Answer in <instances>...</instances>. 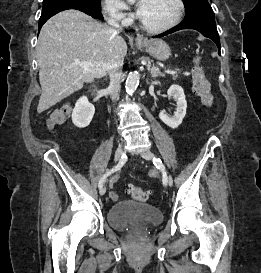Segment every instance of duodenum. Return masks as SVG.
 <instances>
[{
    "label": "duodenum",
    "instance_id": "410a0bca",
    "mask_svg": "<svg viewBox=\"0 0 261 273\" xmlns=\"http://www.w3.org/2000/svg\"><path fill=\"white\" fill-rule=\"evenodd\" d=\"M98 91H99V89H98L97 86H94V87L92 88V90H91V92H92V94H93L94 96H98Z\"/></svg>",
    "mask_w": 261,
    "mask_h": 273
}]
</instances>
